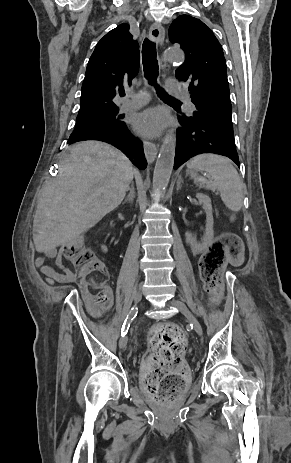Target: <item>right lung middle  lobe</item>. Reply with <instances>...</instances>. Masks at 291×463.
Instances as JSON below:
<instances>
[{
    "instance_id": "obj_1",
    "label": "right lung middle lobe",
    "mask_w": 291,
    "mask_h": 463,
    "mask_svg": "<svg viewBox=\"0 0 291 463\" xmlns=\"http://www.w3.org/2000/svg\"><path fill=\"white\" fill-rule=\"evenodd\" d=\"M118 110L119 109H115L89 117L77 118L76 126L71 136L96 129L112 128L122 125L124 122L120 120L122 116L117 115Z\"/></svg>"
}]
</instances>
